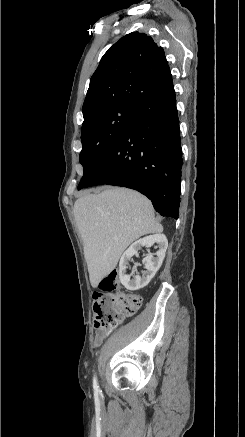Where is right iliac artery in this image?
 Here are the masks:
<instances>
[{"label": "right iliac artery", "instance_id": "1", "mask_svg": "<svg viewBox=\"0 0 245 437\" xmlns=\"http://www.w3.org/2000/svg\"><path fill=\"white\" fill-rule=\"evenodd\" d=\"M93 388H94V391H95L96 393L99 392V386H98V383H97V379H96V377H94V379H93Z\"/></svg>", "mask_w": 245, "mask_h": 437}]
</instances>
